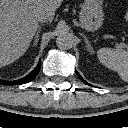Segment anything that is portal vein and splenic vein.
I'll list each match as a JSON object with an SVG mask.
<instances>
[{
    "label": "portal vein and splenic vein",
    "mask_w": 128,
    "mask_h": 128,
    "mask_svg": "<svg viewBox=\"0 0 128 128\" xmlns=\"http://www.w3.org/2000/svg\"><path fill=\"white\" fill-rule=\"evenodd\" d=\"M121 47L128 48V46L125 43L120 44Z\"/></svg>",
    "instance_id": "obj_1"
}]
</instances>
